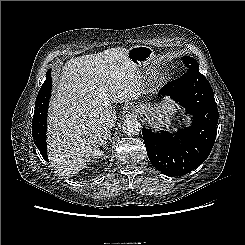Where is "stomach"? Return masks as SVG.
<instances>
[{"label":"stomach","mask_w":245,"mask_h":245,"mask_svg":"<svg viewBox=\"0 0 245 245\" xmlns=\"http://www.w3.org/2000/svg\"><path fill=\"white\" fill-rule=\"evenodd\" d=\"M128 56L139 69L146 68L156 58L153 49L144 45L130 47L128 49ZM138 107L142 110L145 118L149 122L162 126H169L177 111V105L168 100L160 104H145Z\"/></svg>","instance_id":"stomach-1"}]
</instances>
